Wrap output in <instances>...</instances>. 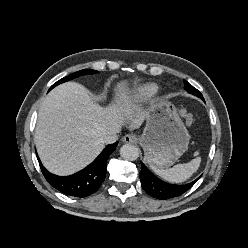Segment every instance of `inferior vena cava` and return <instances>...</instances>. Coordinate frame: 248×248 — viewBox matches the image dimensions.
<instances>
[{"label":"inferior vena cava","mask_w":248,"mask_h":248,"mask_svg":"<svg viewBox=\"0 0 248 248\" xmlns=\"http://www.w3.org/2000/svg\"><path fill=\"white\" fill-rule=\"evenodd\" d=\"M118 139L116 133H108L102 138V142L106 144L114 143Z\"/></svg>","instance_id":"inferior-vena-cava-1"}]
</instances>
